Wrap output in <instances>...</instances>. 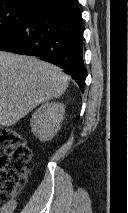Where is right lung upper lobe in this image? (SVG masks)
Returning <instances> with one entry per match:
<instances>
[{"label": "right lung upper lobe", "mask_w": 128, "mask_h": 213, "mask_svg": "<svg viewBox=\"0 0 128 213\" xmlns=\"http://www.w3.org/2000/svg\"><path fill=\"white\" fill-rule=\"evenodd\" d=\"M41 0H0V7L2 6H21L33 8Z\"/></svg>", "instance_id": "obj_1"}]
</instances>
